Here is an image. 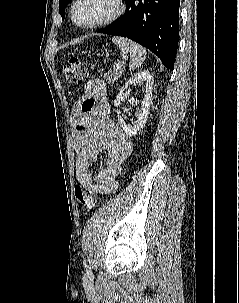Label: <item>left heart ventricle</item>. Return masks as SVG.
I'll list each match as a JSON object with an SVG mask.
<instances>
[{
    "label": "left heart ventricle",
    "mask_w": 239,
    "mask_h": 303,
    "mask_svg": "<svg viewBox=\"0 0 239 303\" xmlns=\"http://www.w3.org/2000/svg\"><path fill=\"white\" fill-rule=\"evenodd\" d=\"M116 9L114 0H80L76 7V20L89 24L112 14Z\"/></svg>",
    "instance_id": "1"
}]
</instances>
